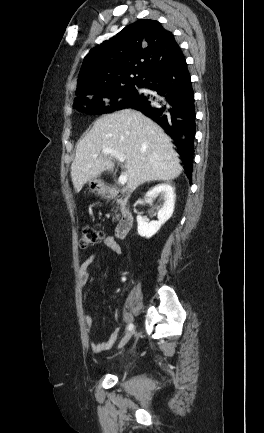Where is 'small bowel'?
I'll return each mask as SVG.
<instances>
[{"label":"small bowel","instance_id":"c3829d8e","mask_svg":"<svg viewBox=\"0 0 264 433\" xmlns=\"http://www.w3.org/2000/svg\"><path fill=\"white\" fill-rule=\"evenodd\" d=\"M102 243L113 253L120 254L121 253V247L120 245L112 238V237H105L102 241ZM95 254H90L80 265L79 268V279L80 282L85 285L89 280V267L93 263L95 259ZM85 323L88 328H91L92 326V318L91 316L85 317ZM121 334V329L119 327L114 328L110 334V336L102 341V342H92L91 348L94 352H103L109 350L112 345L118 340Z\"/></svg>","mask_w":264,"mask_h":433}]
</instances>
